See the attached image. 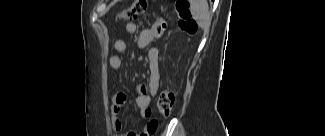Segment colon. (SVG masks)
<instances>
[{
	"instance_id": "obj_1",
	"label": "colon",
	"mask_w": 325,
	"mask_h": 136,
	"mask_svg": "<svg viewBox=\"0 0 325 136\" xmlns=\"http://www.w3.org/2000/svg\"><path fill=\"white\" fill-rule=\"evenodd\" d=\"M146 6V0H134L133 4L122 13L121 17L123 20H134L145 11ZM175 10L179 16V27L187 33H194L197 29V24L192 18L189 1L176 0ZM174 104V93L170 90L161 91L158 97L157 106L159 113L163 117H168L171 114Z\"/></svg>"
}]
</instances>
